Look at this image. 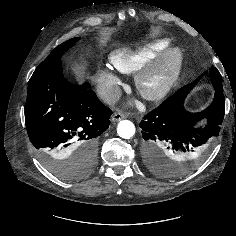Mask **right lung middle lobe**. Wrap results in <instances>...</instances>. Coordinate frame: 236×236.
Returning <instances> with one entry per match:
<instances>
[{
	"mask_svg": "<svg viewBox=\"0 0 236 236\" xmlns=\"http://www.w3.org/2000/svg\"><path fill=\"white\" fill-rule=\"evenodd\" d=\"M77 40L78 38H73L56 47L39 66L60 61L64 52L73 46ZM42 160L53 174L69 180L87 175L95 165V162H92L91 159L76 161L71 158H61L53 155H42Z\"/></svg>",
	"mask_w": 236,
	"mask_h": 236,
	"instance_id": "dd1d6c3e",
	"label": "right lung middle lobe"
}]
</instances>
